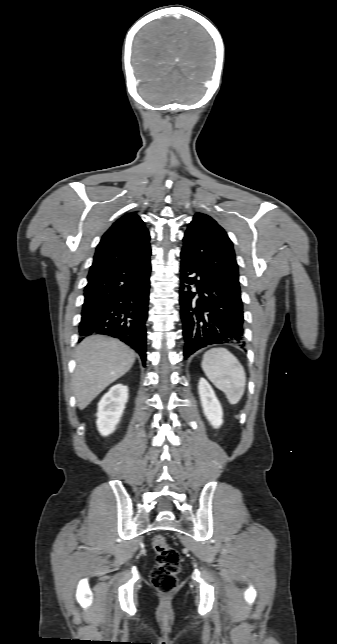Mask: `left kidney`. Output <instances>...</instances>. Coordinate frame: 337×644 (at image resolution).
Wrapping results in <instances>:
<instances>
[{"instance_id": "left-kidney-1", "label": "left kidney", "mask_w": 337, "mask_h": 644, "mask_svg": "<svg viewBox=\"0 0 337 644\" xmlns=\"http://www.w3.org/2000/svg\"><path fill=\"white\" fill-rule=\"evenodd\" d=\"M198 390L204 415L214 428H219L223 423V410L213 388L206 379L200 378Z\"/></svg>"}]
</instances>
